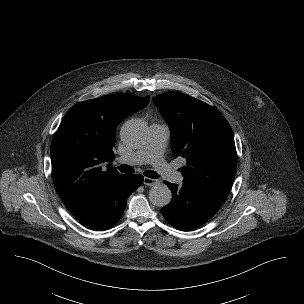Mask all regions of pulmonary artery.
I'll return each instance as SVG.
<instances>
[{
    "label": "pulmonary artery",
    "mask_w": 304,
    "mask_h": 304,
    "mask_svg": "<svg viewBox=\"0 0 304 304\" xmlns=\"http://www.w3.org/2000/svg\"><path fill=\"white\" fill-rule=\"evenodd\" d=\"M169 136L170 130L167 125L154 123L150 127V136L144 146L127 156L121 157L119 161L128 164L150 163L164 179L181 184L183 175L172 169L163 157Z\"/></svg>",
    "instance_id": "e3ab8cb5"
}]
</instances>
